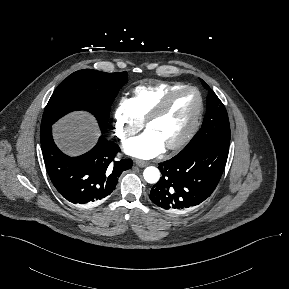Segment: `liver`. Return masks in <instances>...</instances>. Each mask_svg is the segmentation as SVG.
<instances>
[{
	"mask_svg": "<svg viewBox=\"0 0 289 289\" xmlns=\"http://www.w3.org/2000/svg\"><path fill=\"white\" fill-rule=\"evenodd\" d=\"M53 132L57 145L70 155L87 151L99 136L94 119L84 112L65 116L53 126Z\"/></svg>",
	"mask_w": 289,
	"mask_h": 289,
	"instance_id": "6515ba94",
	"label": "liver"
}]
</instances>
